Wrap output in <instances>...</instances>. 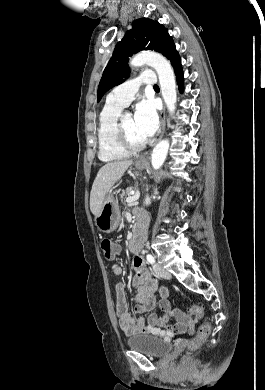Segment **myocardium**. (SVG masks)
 Returning a JSON list of instances; mask_svg holds the SVG:
<instances>
[{
  "label": "myocardium",
  "mask_w": 265,
  "mask_h": 390,
  "mask_svg": "<svg viewBox=\"0 0 265 390\" xmlns=\"http://www.w3.org/2000/svg\"><path fill=\"white\" fill-rule=\"evenodd\" d=\"M123 117L124 115H120L118 118V122L116 125V137L119 145L128 153H134L141 151L142 149L145 148L147 141H143L141 143H133L124 128L123 124Z\"/></svg>",
  "instance_id": "obj_1"
}]
</instances>
